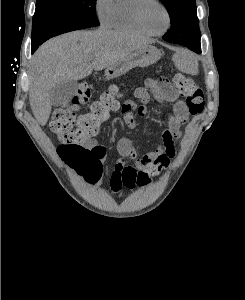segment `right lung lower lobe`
I'll list each match as a JSON object with an SVG mask.
<instances>
[{
    "label": "right lung lower lobe",
    "instance_id": "obj_1",
    "mask_svg": "<svg viewBox=\"0 0 245 300\" xmlns=\"http://www.w3.org/2000/svg\"><path fill=\"white\" fill-rule=\"evenodd\" d=\"M38 46H32V51H35L38 48Z\"/></svg>",
    "mask_w": 245,
    "mask_h": 300
}]
</instances>
